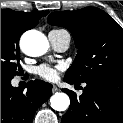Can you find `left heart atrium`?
<instances>
[{"label": "left heart atrium", "instance_id": "left-heart-atrium-1", "mask_svg": "<svg viewBox=\"0 0 123 123\" xmlns=\"http://www.w3.org/2000/svg\"><path fill=\"white\" fill-rule=\"evenodd\" d=\"M64 69V66L59 65H49L42 64L36 69V73L43 79L47 81H56L58 79L59 73Z\"/></svg>", "mask_w": 123, "mask_h": 123}]
</instances>
